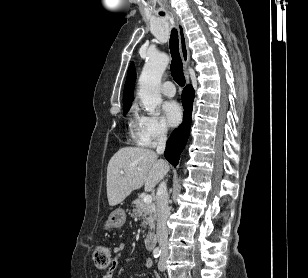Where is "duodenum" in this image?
<instances>
[{"label":"duodenum","mask_w":308,"mask_h":278,"mask_svg":"<svg viewBox=\"0 0 308 278\" xmlns=\"http://www.w3.org/2000/svg\"><path fill=\"white\" fill-rule=\"evenodd\" d=\"M145 243L148 249H153L157 244V234L151 232L146 236Z\"/></svg>","instance_id":"410a0bca"}]
</instances>
